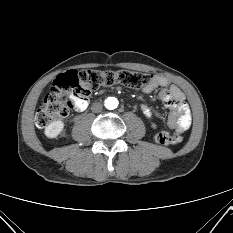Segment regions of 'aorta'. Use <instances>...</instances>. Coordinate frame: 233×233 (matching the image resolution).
Wrapping results in <instances>:
<instances>
[{
  "label": "aorta",
  "instance_id": "762f6f07",
  "mask_svg": "<svg viewBox=\"0 0 233 233\" xmlns=\"http://www.w3.org/2000/svg\"><path fill=\"white\" fill-rule=\"evenodd\" d=\"M118 100L115 97H108L105 100V106L107 109L113 110L118 106Z\"/></svg>",
  "mask_w": 233,
  "mask_h": 233
}]
</instances>
